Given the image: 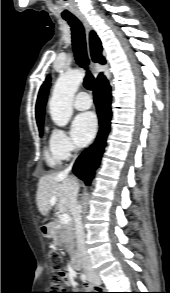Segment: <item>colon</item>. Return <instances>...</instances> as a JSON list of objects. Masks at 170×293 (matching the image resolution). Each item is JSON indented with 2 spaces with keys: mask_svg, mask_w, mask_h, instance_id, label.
<instances>
[{
  "mask_svg": "<svg viewBox=\"0 0 170 293\" xmlns=\"http://www.w3.org/2000/svg\"><path fill=\"white\" fill-rule=\"evenodd\" d=\"M49 262L54 270V274L51 278V282L53 285V292L49 293H63L60 292L63 290V284L67 282V276L63 270L64 263L61 256L53 252L49 255Z\"/></svg>",
  "mask_w": 170,
  "mask_h": 293,
  "instance_id": "1",
  "label": "colon"
}]
</instances>
